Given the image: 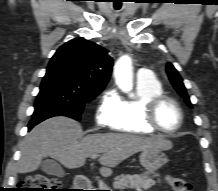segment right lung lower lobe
Segmentation results:
<instances>
[{
  "instance_id": "right-lung-lower-lobe-1",
  "label": "right lung lower lobe",
  "mask_w": 218,
  "mask_h": 191,
  "mask_svg": "<svg viewBox=\"0 0 218 191\" xmlns=\"http://www.w3.org/2000/svg\"><path fill=\"white\" fill-rule=\"evenodd\" d=\"M47 118H50L49 115L45 114V113H42L39 117H38V120L36 122H33V123H29V126H28V129H32L35 125H37L38 123H40L41 121L47 119Z\"/></svg>"
}]
</instances>
